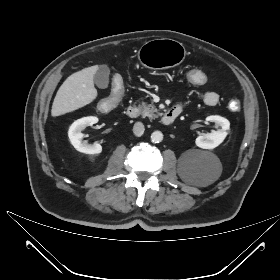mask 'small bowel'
I'll return each mask as SVG.
<instances>
[{"instance_id":"1","label":"small bowel","mask_w":280,"mask_h":280,"mask_svg":"<svg viewBox=\"0 0 280 280\" xmlns=\"http://www.w3.org/2000/svg\"><path fill=\"white\" fill-rule=\"evenodd\" d=\"M202 100L206 106H215L219 101V96L216 92L207 91L203 94ZM175 107H179V106H175Z\"/></svg>"}]
</instances>
